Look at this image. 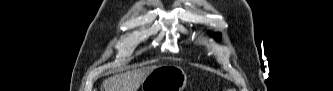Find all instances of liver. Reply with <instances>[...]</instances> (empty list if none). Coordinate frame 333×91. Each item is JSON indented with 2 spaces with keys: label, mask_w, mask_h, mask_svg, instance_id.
<instances>
[{
  "label": "liver",
  "mask_w": 333,
  "mask_h": 91,
  "mask_svg": "<svg viewBox=\"0 0 333 91\" xmlns=\"http://www.w3.org/2000/svg\"><path fill=\"white\" fill-rule=\"evenodd\" d=\"M157 66H148L115 74L103 82L104 91H137L143 80Z\"/></svg>",
  "instance_id": "liver-1"
}]
</instances>
